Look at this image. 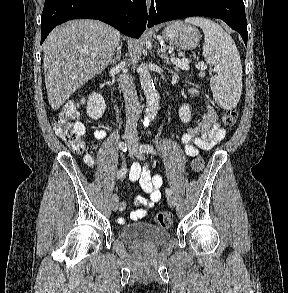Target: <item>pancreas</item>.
<instances>
[{
  "mask_svg": "<svg viewBox=\"0 0 288 293\" xmlns=\"http://www.w3.org/2000/svg\"><path fill=\"white\" fill-rule=\"evenodd\" d=\"M175 69H176L177 71H179V68H178V67H176Z\"/></svg>",
  "mask_w": 288,
  "mask_h": 293,
  "instance_id": "pancreas-1",
  "label": "pancreas"
}]
</instances>
